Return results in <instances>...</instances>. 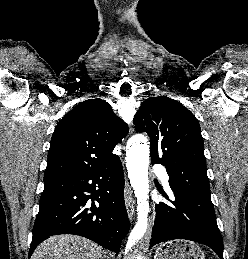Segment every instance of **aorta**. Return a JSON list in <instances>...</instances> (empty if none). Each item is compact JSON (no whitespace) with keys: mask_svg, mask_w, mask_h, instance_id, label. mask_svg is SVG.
Here are the masks:
<instances>
[{"mask_svg":"<svg viewBox=\"0 0 248 259\" xmlns=\"http://www.w3.org/2000/svg\"><path fill=\"white\" fill-rule=\"evenodd\" d=\"M149 147L144 136H135L129 141L126 151V167L131 186L137 198V223L134 228L135 238L144 236L149 228L147 217L149 213ZM127 259H145L142 254L135 253L130 248Z\"/></svg>","mask_w":248,"mask_h":259,"instance_id":"aorta-1","label":"aorta"}]
</instances>
